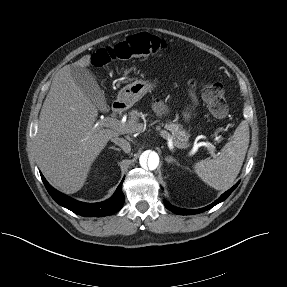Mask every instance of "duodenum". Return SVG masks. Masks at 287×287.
<instances>
[{
    "label": "duodenum",
    "instance_id": "obj_1",
    "mask_svg": "<svg viewBox=\"0 0 287 287\" xmlns=\"http://www.w3.org/2000/svg\"><path fill=\"white\" fill-rule=\"evenodd\" d=\"M125 108V103L122 100H115L112 104V111L116 114L122 112Z\"/></svg>",
    "mask_w": 287,
    "mask_h": 287
}]
</instances>
